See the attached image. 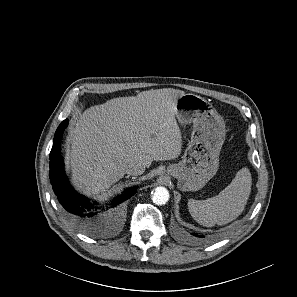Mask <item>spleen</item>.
Masks as SVG:
<instances>
[{
	"instance_id": "obj_1",
	"label": "spleen",
	"mask_w": 297,
	"mask_h": 297,
	"mask_svg": "<svg viewBox=\"0 0 297 297\" xmlns=\"http://www.w3.org/2000/svg\"><path fill=\"white\" fill-rule=\"evenodd\" d=\"M251 186V173L248 168H242L217 196L206 200L189 199V212L194 220L203 226L227 224L243 212L251 193Z\"/></svg>"
}]
</instances>
